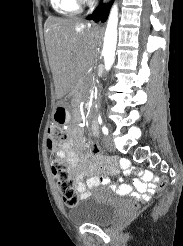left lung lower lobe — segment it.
Returning <instances> with one entry per match:
<instances>
[{"mask_svg":"<svg viewBox=\"0 0 183 246\" xmlns=\"http://www.w3.org/2000/svg\"><path fill=\"white\" fill-rule=\"evenodd\" d=\"M87 19H91V16H88Z\"/></svg>","mask_w":183,"mask_h":246,"instance_id":"obj_1","label":"left lung lower lobe"}]
</instances>
